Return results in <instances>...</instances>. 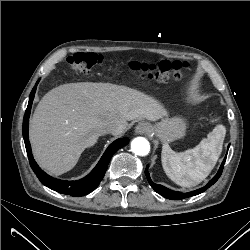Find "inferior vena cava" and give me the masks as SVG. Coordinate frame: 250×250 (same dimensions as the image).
<instances>
[{"label":"inferior vena cava","instance_id":"602c4592","mask_svg":"<svg viewBox=\"0 0 250 250\" xmlns=\"http://www.w3.org/2000/svg\"><path fill=\"white\" fill-rule=\"evenodd\" d=\"M123 130V126L120 123L117 122H108L105 124L103 132L104 133H120Z\"/></svg>","mask_w":250,"mask_h":250}]
</instances>
